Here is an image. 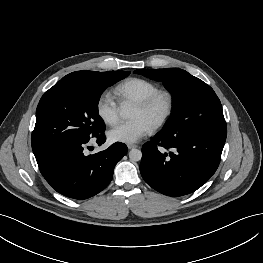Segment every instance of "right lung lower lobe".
Listing matches in <instances>:
<instances>
[{
    "mask_svg": "<svg viewBox=\"0 0 263 263\" xmlns=\"http://www.w3.org/2000/svg\"><path fill=\"white\" fill-rule=\"evenodd\" d=\"M95 138L101 144L106 140L104 132ZM89 140L60 142L35 154L46 181L66 197L87 199L98 194L110 183L115 165L127 153L126 145L116 142L104 151L86 155Z\"/></svg>",
    "mask_w": 263,
    "mask_h": 263,
    "instance_id": "obj_1",
    "label": "right lung lower lobe"
}]
</instances>
